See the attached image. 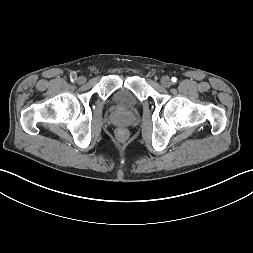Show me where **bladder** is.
Returning <instances> with one entry per match:
<instances>
[{
	"instance_id": "31cf9c89",
	"label": "bladder",
	"mask_w": 253,
	"mask_h": 253,
	"mask_svg": "<svg viewBox=\"0 0 253 253\" xmlns=\"http://www.w3.org/2000/svg\"><path fill=\"white\" fill-rule=\"evenodd\" d=\"M111 100L115 106L122 108H131L134 107L137 103L135 95L125 88L116 90L112 94Z\"/></svg>"
}]
</instances>
